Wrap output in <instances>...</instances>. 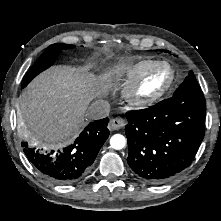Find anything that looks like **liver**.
I'll return each instance as SVG.
<instances>
[{"label":"liver","instance_id":"liver-1","mask_svg":"<svg viewBox=\"0 0 221 221\" xmlns=\"http://www.w3.org/2000/svg\"><path fill=\"white\" fill-rule=\"evenodd\" d=\"M123 70L117 64L100 76L66 65L44 71L19 100L17 114L23 135L33 142L61 145L72 141L86 125L90 102L107 96Z\"/></svg>","mask_w":221,"mask_h":221}]
</instances>
